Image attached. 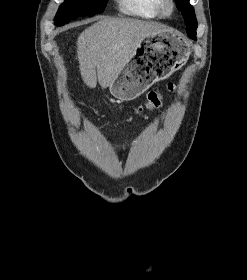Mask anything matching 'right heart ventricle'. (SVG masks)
<instances>
[{
    "label": "right heart ventricle",
    "instance_id": "1",
    "mask_svg": "<svg viewBox=\"0 0 247 280\" xmlns=\"http://www.w3.org/2000/svg\"><path fill=\"white\" fill-rule=\"evenodd\" d=\"M121 12L145 19L161 17L157 9V0H118Z\"/></svg>",
    "mask_w": 247,
    "mask_h": 280
}]
</instances>
